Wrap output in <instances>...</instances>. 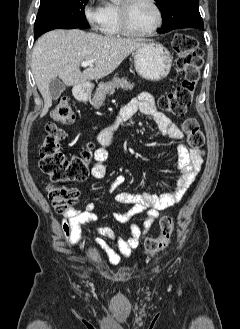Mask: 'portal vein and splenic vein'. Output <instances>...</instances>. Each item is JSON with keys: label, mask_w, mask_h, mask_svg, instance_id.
<instances>
[{"label": "portal vein and splenic vein", "mask_w": 240, "mask_h": 329, "mask_svg": "<svg viewBox=\"0 0 240 329\" xmlns=\"http://www.w3.org/2000/svg\"><path fill=\"white\" fill-rule=\"evenodd\" d=\"M92 64H93L92 61H83V62L81 63V66H82V67H88V66H90V65H92Z\"/></svg>", "instance_id": "portal-vein-and-splenic-vein-1"}]
</instances>
